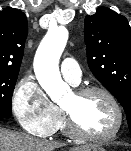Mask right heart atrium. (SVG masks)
<instances>
[{
    "instance_id": "right-heart-atrium-1",
    "label": "right heart atrium",
    "mask_w": 131,
    "mask_h": 151,
    "mask_svg": "<svg viewBox=\"0 0 131 151\" xmlns=\"http://www.w3.org/2000/svg\"><path fill=\"white\" fill-rule=\"evenodd\" d=\"M12 110L22 129L35 136L52 134L61 111L48 98L32 76L23 77L11 99Z\"/></svg>"
}]
</instances>
